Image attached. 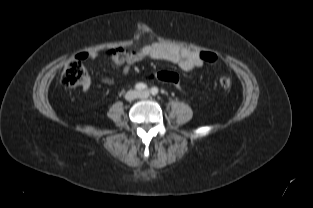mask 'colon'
Segmentation results:
<instances>
[{
    "mask_svg": "<svg viewBox=\"0 0 313 208\" xmlns=\"http://www.w3.org/2000/svg\"><path fill=\"white\" fill-rule=\"evenodd\" d=\"M200 58L204 63L214 64L218 61V56L211 51H203L200 53ZM153 79H157L162 82L169 83L176 87L178 94L183 95L184 90L181 84V78L176 72L172 71H159L150 76ZM62 84L67 88H76L84 86L87 82V73L79 60H73L69 62L62 74ZM219 85L223 89H229L232 85L231 78L229 76H221L219 78Z\"/></svg>",
    "mask_w": 313,
    "mask_h": 208,
    "instance_id": "5ec220e1",
    "label": "colon"
}]
</instances>
